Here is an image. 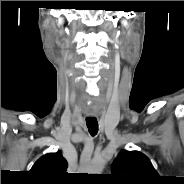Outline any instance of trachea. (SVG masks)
<instances>
[{"label":"trachea","instance_id":"trachea-1","mask_svg":"<svg viewBox=\"0 0 184 184\" xmlns=\"http://www.w3.org/2000/svg\"><path fill=\"white\" fill-rule=\"evenodd\" d=\"M86 124L88 130L92 136H95L98 132V122L96 118H86Z\"/></svg>","mask_w":184,"mask_h":184}]
</instances>
